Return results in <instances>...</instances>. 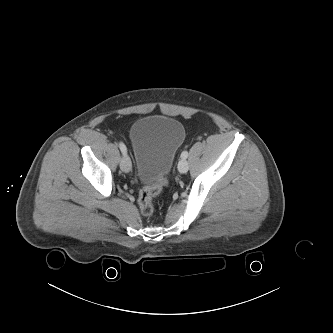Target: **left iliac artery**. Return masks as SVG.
Listing matches in <instances>:
<instances>
[{"label":"left iliac artery","mask_w":333,"mask_h":333,"mask_svg":"<svg viewBox=\"0 0 333 333\" xmlns=\"http://www.w3.org/2000/svg\"><path fill=\"white\" fill-rule=\"evenodd\" d=\"M188 157V152L187 151H183L182 153H181V158L182 159H186Z\"/></svg>","instance_id":"left-iliac-artery-1"}]
</instances>
